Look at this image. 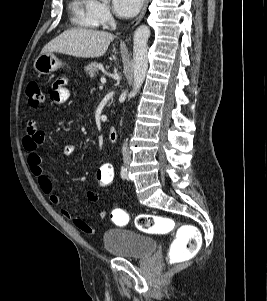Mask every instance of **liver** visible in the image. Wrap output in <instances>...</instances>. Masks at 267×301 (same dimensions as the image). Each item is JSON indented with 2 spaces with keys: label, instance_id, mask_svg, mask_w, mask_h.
<instances>
[{
  "label": "liver",
  "instance_id": "liver-1",
  "mask_svg": "<svg viewBox=\"0 0 267 301\" xmlns=\"http://www.w3.org/2000/svg\"><path fill=\"white\" fill-rule=\"evenodd\" d=\"M113 40L114 35L105 31L75 28L51 40L41 53L57 52L79 58H96L105 54Z\"/></svg>",
  "mask_w": 267,
  "mask_h": 301
}]
</instances>
